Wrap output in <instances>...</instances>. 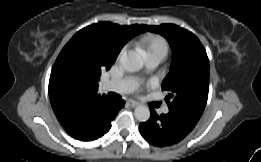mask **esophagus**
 Returning <instances> with one entry per match:
<instances>
[{
	"mask_svg": "<svg viewBox=\"0 0 261 162\" xmlns=\"http://www.w3.org/2000/svg\"><path fill=\"white\" fill-rule=\"evenodd\" d=\"M127 104H128L130 107H132V108H135V107H137V106L139 105V103H137V102H135V101H133V100H128V101H127Z\"/></svg>",
	"mask_w": 261,
	"mask_h": 162,
	"instance_id": "1",
	"label": "esophagus"
}]
</instances>
